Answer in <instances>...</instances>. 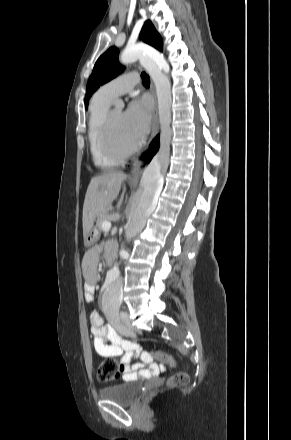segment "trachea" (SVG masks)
<instances>
[{
	"label": "trachea",
	"mask_w": 291,
	"mask_h": 440,
	"mask_svg": "<svg viewBox=\"0 0 291 440\" xmlns=\"http://www.w3.org/2000/svg\"><path fill=\"white\" fill-rule=\"evenodd\" d=\"M141 78H142V84L145 87H149L150 86V78H149V76L145 72H142L141 73Z\"/></svg>",
	"instance_id": "1"
}]
</instances>
